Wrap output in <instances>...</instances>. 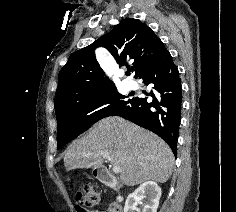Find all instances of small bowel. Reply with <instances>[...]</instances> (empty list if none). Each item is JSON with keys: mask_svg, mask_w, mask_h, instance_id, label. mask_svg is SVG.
Returning <instances> with one entry per match:
<instances>
[{"mask_svg": "<svg viewBox=\"0 0 236 212\" xmlns=\"http://www.w3.org/2000/svg\"><path fill=\"white\" fill-rule=\"evenodd\" d=\"M108 212H121V209L118 205L116 204H112L109 209Z\"/></svg>", "mask_w": 236, "mask_h": 212, "instance_id": "1", "label": "small bowel"}]
</instances>
